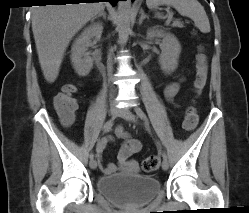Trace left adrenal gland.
<instances>
[{
  "instance_id": "1",
  "label": "left adrenal gland",
  "mask_w": 249,
  "mask_h": 213,
  "mask_svg": "<svg viewBox=\"0 0 249 213\" xmlns=\"http://www.w3.org/2000/svg\"><path fill=\"white\" fill-rule=\"evenodd\" d=\"M140 18H139V24H142V22H143V20L145 19V18H148V16L144 13V10L143 9H140Z\"/></svg>"
}]
</instances>
